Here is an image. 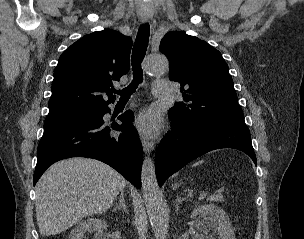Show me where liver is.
<instances>
[{"instance_id": "liver-1", "label": "liver", "mask_w": 304, "mask_h": 239, "mask_svg": "<svg viewBox=\"0 0 304 239\" xmlns=\"http://www.w3.org/2000/svg\"><path fill=\"white\" fill-rule=\"evenodd\" d=\"M126 180L110 166L89 158L53 164L36 185V218L42 236L55 235L83 217L105 212Z\"/></svg>"}]
</instances>
